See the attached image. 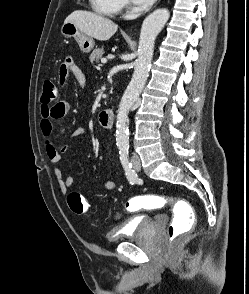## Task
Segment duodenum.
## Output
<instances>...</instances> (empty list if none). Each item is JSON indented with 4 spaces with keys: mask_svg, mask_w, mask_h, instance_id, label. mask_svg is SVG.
Here are the masks:
<instances>
[{
    "mask_svg": "<svg viewBox=\"0 0 249 294\" xmlns=\"http://www.w3.org/2000/svg\"><path fill=\"white\" fill-rule=\"evenodd\" d=\"M113 111L111 109H104L99 113L98 122L100 126L105 129H110L113 125Z\"/></svg>",
    "mask_w": 249,
    "mask_h": 294,
    "instance_id": "obj_1",
    "label": "duodenum"
}]
</instances>
